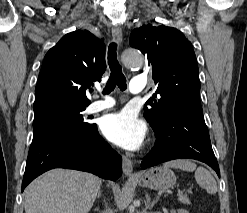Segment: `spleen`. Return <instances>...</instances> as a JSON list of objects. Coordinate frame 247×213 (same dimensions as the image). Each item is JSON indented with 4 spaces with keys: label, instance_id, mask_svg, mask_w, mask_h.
Instances as JSON below:
<instances>
[{
    "label": "spleen",
    "instance_id": "spleen-1",
    "mask_svg": "<svg viewBox=\"0 0 247 213\" xmlns=\"http://www.w3.org/2000/svg\"><path fill=\"white\" fill-rule=\"evenodd\" d=\"M165 168H176L183 171H195L196 182L204 188L209 194L217 192V184L211 173L203 167H197L195 163L189 160H173L164 164Z\"/></svg>",
    "mask_w": 247,
    "mask_h": 213
}]
</instances>
